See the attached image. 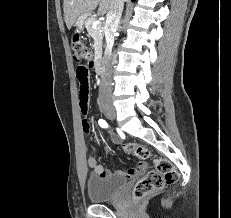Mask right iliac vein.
<instances>
[{
    "label": "right iliac vein",
    "mask_w": 231,
    "mask_h": 218,
    "mask_svg": "<svg viewBox=\"0 0 231 218\" xmlns=\"http://www.w3.org/2000/svg\"><path fill=\"white\" fill-rule=\"evenodd\" d=\"M101 110L108 119H111V120L115 119L116 112L112 105L110 104L103 105L101 107Z\"/></svg>",
    "instance_id": "right-iliac-vein-1"
}]
</instances>
